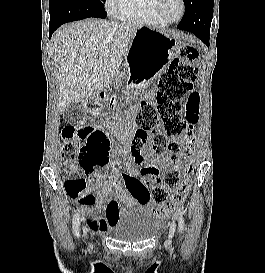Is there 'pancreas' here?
I'll use <instances>...</instances> for the list:
<instances>
[{
  "label": "pancreas",
  "instance_id": "obj_1",
  "mask_svg": "<svg viewBox=\"0 0 265 273\" xmlns=\"http://www.w3.org/2000/svg\"><path fill=\"white\" fill-rule=\"evenodd\" d=\"M127 75H128L127 71H123V72H121V73H118V74H117V77H116V79H115L116 85H120L121 80L124 79V78H126Z\"/></svg>",
  "mask_w": 265,
  "mask_h": 273
}]
</instances>
